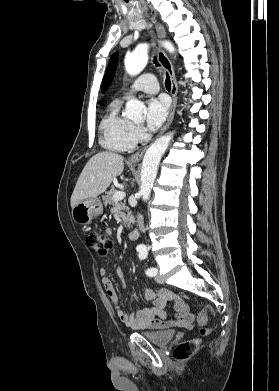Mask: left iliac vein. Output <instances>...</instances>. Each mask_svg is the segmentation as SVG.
<instances>
[{
	"label": "left iliac vein",
	"mask_w": 279,
	"mask_h": 391,
	"mask_svg": "<svg viewBox=\"0 0 279 391\" xmlns=\"http://www.w3.org/2000/svg\"><path fill=\"white\" fill-rule=\"evenodd\" d=\"M155 280H156V282H158V283H163V282H164L163 278H162L159 274H157V275L155 276Z\"/></svg>",
	"instance_id": "left-iliac-vein-1"
}]
</instances>
